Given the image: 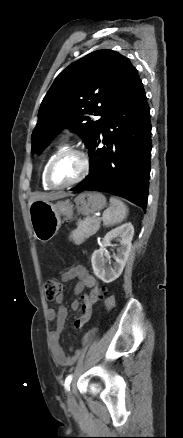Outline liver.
<instances>
[{
    "label": "liver",
    "mask_w": 183,
    "mask_h": 438,
    "mask_svg": "<svg viewBox=\"0 0 183 438\" xmlns=\"http://www.w3.org/2000/svg\"><path fill=\"white\" fill-rule=\"evenodd\" d=\"M70 194L68 193H64V192H55V193H41V194H37L35 196H33L30 200H29V206L36 200H47V201H51V200H57L60 198H64L69 196Z\"/></svg>",
    "instance_id": "6515ba94"
}]
</instances>
